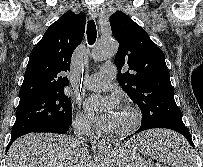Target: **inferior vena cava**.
<instances>
[{"mask_svg":"<svg viewBox=\"0 0 203 167\" xmlns=\"http://www.w3.org/2000/svg\"><path fill=\"white\" fill-rule=\"evenodd\" d=\"M74 143L80 153L87 150L86 141L93 138V132L91 130L90 123L86 120H79L74 122Z\"/></svg>","mask_w":203,"mask_h":167,"instance_id":"obj_1","label":"inferior vena cava"}]
</instances>
